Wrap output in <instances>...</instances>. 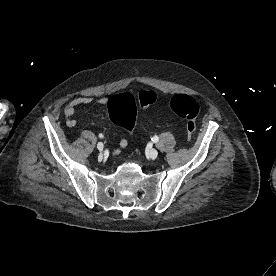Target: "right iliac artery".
I'll return each mask as SVG.
<instances>
[{"mask_svg": "<svg viewBox=\"0 0 276 276\" xmlns=\"http://www.w3.org/2000/svg\"><path fill=\"white\" fill-rule=\"evenodd\" d=\"M99 137H100V138H103L104 136H103L102 134H99Z\"/></svg>", "mask_w": 276, "mask_h": 276, "instance_id": "right-iliac-artery-1", "label": "right iliac artery"}]
</instances>
